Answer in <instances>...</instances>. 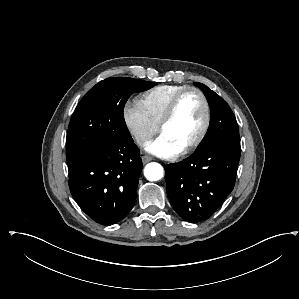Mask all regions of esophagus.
<instances>
[{"instance_id":"esophagus-1","label":"esophagus","mask_w":299,"mask_h":299,"mask_svg":"<svg viewBox=\"0 0 299 299\" xmlns=\"http://www.w3.org/2000/svg\"><path fill=\"white\" fill-rule=\"evenodd\" d=\"M152 160H153V158L150 157V156H147V155L142 156V162H143V164H146V163H148V162H150Z\"/></svg>"}]
</instances>
